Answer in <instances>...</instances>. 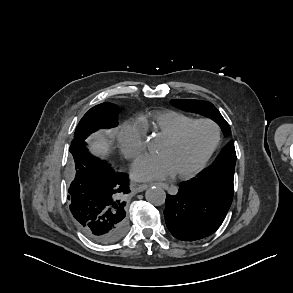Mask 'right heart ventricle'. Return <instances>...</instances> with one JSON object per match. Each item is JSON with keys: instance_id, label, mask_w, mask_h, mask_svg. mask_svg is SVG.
Returning <instances> with one entry per match:
<instances>
[{"instance_id": "obj_1", "label": "right heart ventricle", "mask_w": 293, "mask_h": 293, "mask_svg": "<svg viewBox=\"0 0 293 293\" xmlns=\"http://www.w3.org/2000/svg\"><path fill=\"white\" fill-rule=\"evenodd\" d=\"M195 120L194 117L173 110L155 111L142 117L139 122L146 130L149 126L164 138L174 134L185 124Z\"/></svg>"}]
</instances>
